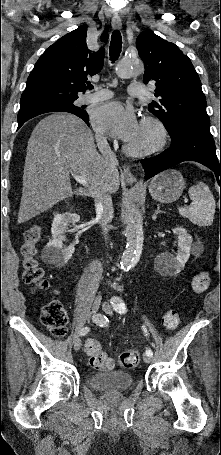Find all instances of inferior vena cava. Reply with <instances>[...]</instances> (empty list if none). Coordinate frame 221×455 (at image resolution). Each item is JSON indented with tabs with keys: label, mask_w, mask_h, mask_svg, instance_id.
Instances as JSON below:
<instances>
[{
	"label": "inferior vena cava",
	"mask_w": 221,
	"mask_h": 455,
	"mask_svg": "<svg viewBox=\"0 0 221 455\" xmlns=\"http://www.w3.org/2000/svg\"><path fill=\"white\" fill-rule=\"evenodd\" d=\"M96 141L99 150L105 159V162L110 166L111 169L116 168L118 161L115 154L111 150L107 139L103 136H97ZM95 207L103 230V234L106 239V236L109 232V223L113 217V204L111 195L108 192H97L95 195Z\"/></svg>",
	"instance_id": "1"
}]
</instances>
